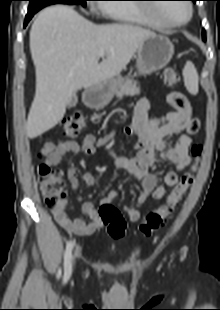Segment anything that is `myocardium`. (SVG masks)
Listing matches in <instances>:
<instances>
[{"label":"myocardium","mask_w":220,"mask_h":310,"mask_svg":"<svg viewBox=\"0 0 220 310\" xmlns=\"http://www.w3.org/2000/svg\"><path fill=\"white\" fill-rule=\"evenodd\" d=\"M187 9H188V16L182 20V21H178V22H172L169 21L167 19H164L160 16H158L155 12V10L153 9H145V11L151 16L153 17L155 20H157L159 23H161L164 27H169V28H176V27H181L183 25H185L187 22H189V20L192 17L193 14V8L191 4H185Z\"/></svg>","instance_id":"myocardium-1"}]
</instances>
